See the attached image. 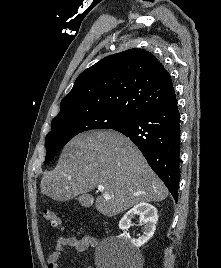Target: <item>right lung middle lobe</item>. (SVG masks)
Masks as SVG:
<instances>
[{
	"instance_id": "right-lung-middle-lobe-1",
	"label": "right lung middle lobe",
	"mask_w": 221,
	"mask_h": 268,
	"mask_svg": "<svg viewBox=\"0 0 221 268\" xmlns=\"http://www.w3.org/2000/svg\"><path fill=\"white\" fill-rule=\"evenodd\" d=\"M130 119L124 114L104 109L57 115L45 140L47 154L44 163L49 162L77 134L92 129H112Z\"/></svg>"
}]
</instances>
